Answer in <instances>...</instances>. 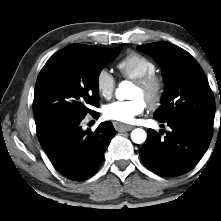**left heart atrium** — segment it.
<instances>
[{
    "mask_svg": "<svg viewBox=\"0 0 221 221\" xmlns=\"http://www.w3.org/2000/svg\"><path fill=\"white\" fill-rule=\"evenodd\" d=\"M145 110V103L140 98L127 101H115L105 106L106 118L122 123H132Z\"/></svg>",
    "mask_w": 221,
    "mask_h": 221,
    "instance_id": "1",
    "label": "left heart atrium"
}]
</instances>
